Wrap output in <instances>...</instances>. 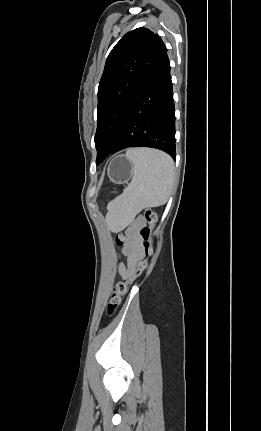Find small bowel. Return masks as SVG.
Returning a JSON list of instances; mask_svg holds the SVG:
<instances>
[{
  "instance_id": "small-bowel-1",
  "label": "small bowel",
  "mask_w": 261,
  "mask_h": 431,
  "mask_svg": "<svg viewBox=\"0 0 261 431\" xmlns=\"http://www.w3.org/2000/svg\"><path fill=\"white\" fill-rule=\"evenodd\" d=\"M144 226V220L138 217L134 220L128 228L129 243L126 247V254L128 256L127 264L119 268V273L123 277H128L135 270V263L141 254V237L140 230Z\"/></svg>"
}]
</instances>
